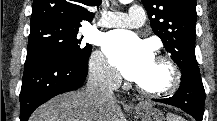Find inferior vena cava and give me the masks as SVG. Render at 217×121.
Masks as SVG:
<instances>
[{"label": "inferior vena cava", "instance_id": "602c4592", "mask_svg": "<svg viewBox=\"0 0 217 121\" xmlns=\"http://www.w3.org/2000/svg\"><path fill=\"white\" fill-rule=\"evenodd\" d=\"M119 85L117 75L106 64L91 69L84 90L88 103L97 106L113 101Z\"/></svg>", "mask_w": 217, "mask_h": 121}]
</instances>
